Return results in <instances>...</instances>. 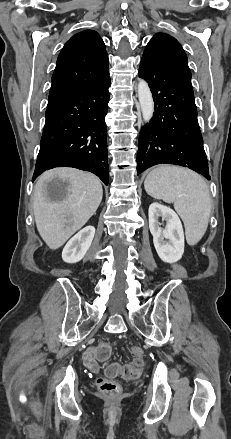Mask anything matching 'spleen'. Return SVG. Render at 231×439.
Here are the masks:
<instances>
[{"mask_svg":"<svg viewBox=\"0 0 231 439\" xmlns=\"http://www.w3.org/2000/svg\"><path fill=\"white\" fill-rule=\"evenodd\" d=\"M144 188L153 198L174 204L184 222L188 244L200 241L211 212L209 188L200 175L181 167L160 166L147 175Z\"/></svg>","mask_w":231,"mask_h":439,"instance_id":"1","label":"spleen"}]
</instances>
